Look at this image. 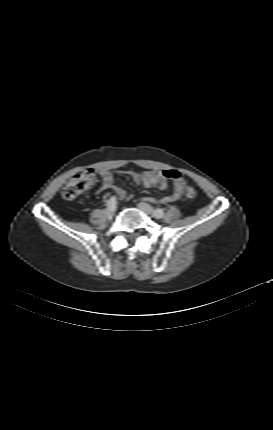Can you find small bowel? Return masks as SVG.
Returning a JSON list of instances; mask_svg holds the SVG:
<instances>
[{
    "label": "small bowel",
    "instance_id": "c3829d8e",
    "mask_svg": "<svg viewBox=\"0 0 273 430\" xmlns=\"http://www.w3.org/2000/svg\"><path fill=\"white\" fill-rule=\"evenodd\" d=\"M99 174L101 176V185L98 189L99 192L112 190L120 199H126L128 197L122 188L114 184L113 174L110 170L101 169ZM127 174L136 184L145 188L156 187L158 189L164 190L168 187L169 181L172 180V194L152 199L154 202L158 203H169L180 199L186 186L185 180L182 178V176L173 170L144 172L127 171Z\"/></svg>",
    "mask_w": 273,
    "mask_h": 430
}]
</instances>
